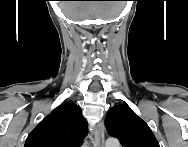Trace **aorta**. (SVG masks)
Returning a JSON list of instances; mask_svg holds the SVG:
<instances>
[{
    "instance_id": "762f6f07",
    "label": "aorta",
    "mask_w": 188,
    "mask_h": 147,
    "mask_svg": "<svg viewBox=\"0 0 188 147\" xmlns=\"http://www.w3.org/2000/svg\"><path fill=\"white\" fill-rule=\"evenodd\" d=\"M120 143L116 138H108L105 142L106 147H119Z\"/></svg>"
}]
</instances>
